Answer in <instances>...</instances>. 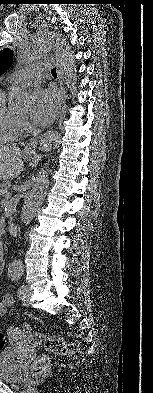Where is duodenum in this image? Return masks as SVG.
<instances>
[{
    "label": "duodenum",
    "instance_id": "duodenum-1",
    "mask_svg": "<svg viewBox=\"0 0 153 393\" xmlns=\"http://www.w3.org/2000/svg\"><path fill=\"white\" fill-rule=\"evenodd\" d=\"M7 230L11 235H15L18 232V225L16 222H10L7 225Z\"/></svg>",
    "mask_w": 153,
    "mask_h": 393
}]
</instances>
